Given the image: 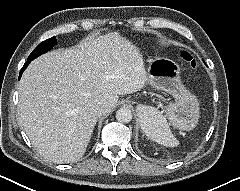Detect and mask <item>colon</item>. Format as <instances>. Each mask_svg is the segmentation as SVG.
Wrapping results in <instances>:
<instances>
[{
  "instance_id": "1",
  "label": "colon",
  "mask_w": 240,
  "mask_h": 191,
  "mask_svg": "<svg viewBox=\"0 0 240 191\" xmlns=\"http://www.w3.org/2000/svg\"><path fill=\"white\" fill-rule=\"evenodd\" d=\"M181 57L182 59L187 62L192 68L196 69L198 67V62L197 60L194 58V56L186 50H183L181 52Z\"/></svg>"
}]
</instances>
